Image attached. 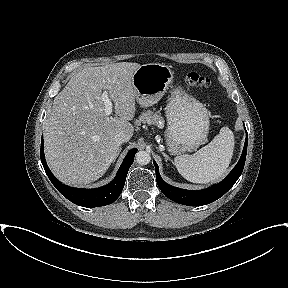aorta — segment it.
<instances>
[{"instance_id": "1", "label": "aorta", "mask_w": 288, "mask_h": 288, "mask_svg": "<svg viewBox=\"0 0 288 288\" xmlns=\"http://www.w3.org/2000/svg\"><path fill=\"white\" fill-rule=\"evenodd\" d=\"M136 162L140 165H147L151 161V155L147 151H138L135 155Z\"/></svg>"}]
</instances>
